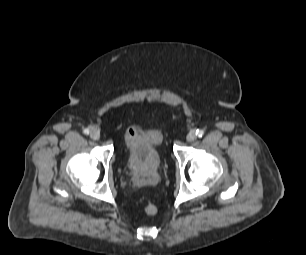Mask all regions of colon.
Masks as SVG:
<instances>
[{
  "label": "colon",
  "mask_w": 306,
  "mask_h": 255,
  "mask_svg": "<svg viewBox=\"0 0 306 255\" xmlns=\"http://www.w3.org/2000/svg\"><path fill=\"white\" fill-rule=\"evenodd\" d=\"M144 211L148 215H154L157 212V207L152 203H148L144 207Z\"/></svg>",
  "instance_id": "5ec220e1"
}]
</instances>
